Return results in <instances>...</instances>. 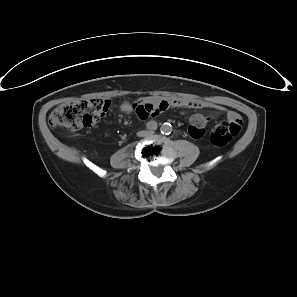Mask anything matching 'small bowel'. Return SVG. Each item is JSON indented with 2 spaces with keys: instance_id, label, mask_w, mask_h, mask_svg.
<instances>
[{
  "instance_id": "obj_1",
  "label": "small bowel",
  "mask_w": 297,
  "mask_h": 297,
  "mask_svg": "<svg viewBox=\"0 0 297 297\" xmlns=\"http://www.w3.org/2000/svg\"><path fill=\"white\" fill-rule=\"evenodd\" d=\"M169 107H183L192 109L212 108L215 109L218 113H226L228 119H233L238 115L234 111H227L224 107L210 102L201 100H188L182 98L170 100L145 99L139 101L136 104L125 102L122 105L121 109L124 113L127 114L131 113L132 111H136L138 116L144 119L148 116H154L160 112H163ZM210 119L211 118L209 116L200 113L192 115L190 118V127L188 129L190 136L195 139L202 137L204 134V129Z\"/></svg>"
}]
</instances>
